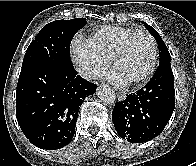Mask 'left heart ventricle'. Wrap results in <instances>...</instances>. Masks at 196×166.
<instances>
[{"label":"left heart ventricle","mask_w":196,"mask_h":166,"mask_svg":"<svg viewBox=\"0 0 196 166\" xmlns=\"http://www.w3.org/2000/svg\"><path fill=\"white\" fill-rule=\"evenodd\" d=\"M152 61V46L149 38L142 34H135L126 53L118 61L114 70L127 82L140 77L150 66Z\"/></svg>","instance_id":"left-heart-ventricle-1"}]
</instances>
